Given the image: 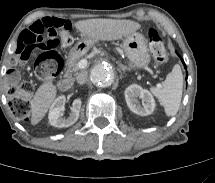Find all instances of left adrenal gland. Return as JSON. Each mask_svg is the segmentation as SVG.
I'll return each instance as SVG.
<instances>
[{"label":"left adrenal gland","mask_w":215,"mask_h":183,"mask_svg":"<svg viewBox=\"0 0 215 183\" xmlns=\"http://www.w3.org/2000/svg\"><path fill=\"white\" fill-rule=\"evenodd\" d=\"M120 67H121V69H122L123 72L130 71V69L127 68L126 66H124L123 64H120Z\"/></svg>","instance_id":"a2214340"}]
</instances>
